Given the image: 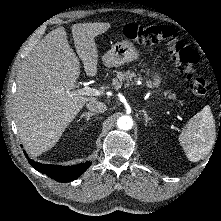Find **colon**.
Masks as SVG:
<instances>
[{
	"instance_id": "obj_1",
	"label": "colon",
	"mask_w": 221,
	"mask_h": 221,
	"mask_svg": "<svg viewBox=\"0 0 221 221\" xmlns=\"http://www.w3.org/2000/svg\"><path fill=\"white\" fill-rule=\"evenodd\" d=\"M122 33L125 38L144 46L165 43L178 70L188 80L191 93L198 97L206 94V82L197 70L199 56L178 38V33L173 27L168 25L142 26L127 24L124 26Z\"/></svg>"
}]
</instances>
